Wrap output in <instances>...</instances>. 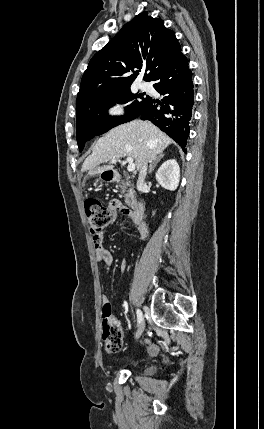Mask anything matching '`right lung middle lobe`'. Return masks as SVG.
<instances>
[{
  "label": "right lung middle lobe",
  "mask_w": 264,
  "mask_h": 429,
  "mask_svg": "<svg viewBox=\"0 0 264 429\" xmlns=\"http://www.w3.org/2000/svg\"><path fill=\"white\" fill-rule=\"evenodd\" d=\"M137 98H141L139 101ZM142 94H133L130 88L102 96L93 101L76 107L77 142L79 151L84 148L86 141L100 135L112 127L135 119L149 100ZM123 117H108L107 110L115 103H129Z\"/></svg>",
  "instance_id": "1"
}]
</instances>
